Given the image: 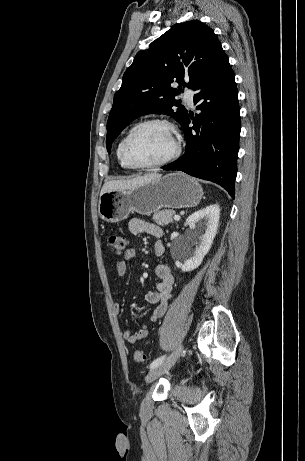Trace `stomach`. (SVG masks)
I'll list each match as a JSON object with an SVG mask.
<instances>
[{
  "instance_id": "stomach-1",
  "label": "stomach",
  "mask_w": 305,
  "mask_h": 461,
  "mask_svg": "<svg viewBox=\"0 0 305 461\" xmlns=\"http://www.w3.org/2000/svg\"><path fill=\"white\" fill-rule=\"evenodd\" d=\"M202 196L203 189L194 178L175 172L132 189L102 194L98 213L101 219L116 223L126 219L131 212L150 215L161 208L194 207Z\"/></svg>"
}]
</instances>
